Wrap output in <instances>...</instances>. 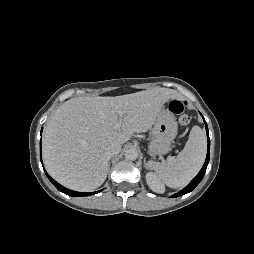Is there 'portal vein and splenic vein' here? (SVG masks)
<instances>
[{
  "instance_id": "obj_1",
  "label": "portal vein and splenic vein",
  "mask_w": 254,
  "mask_h": 254,
  "mask_svg": "<svg viewBox=\"0 0 254 254\" xmlns=\"http://www.w3.org/2000/svg\"><path fill=\"white\" fill-rule=\"evenodd\" d=\"M123 115H124V112L123 111H119V116L122 117ZM120 127H121V121H119L118 123H116L114 125V129H116V130L120 129Z\"/></svg>"
}]
</instances>
